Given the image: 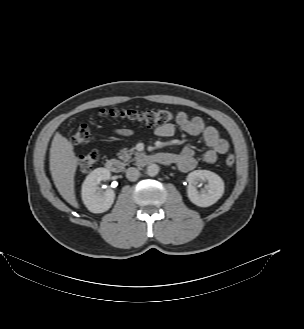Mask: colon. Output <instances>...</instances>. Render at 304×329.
Listing matches in <instances>:
<instances>
[{
  "instance_id": "1",
  "label": "colon",
  "mask_w": 304,
  "mask_h": 329,
  "mask_svg": "<svg viewBox=\"0 0 304 329\" xmlns=\"http://www.w3.org/2000/svg\"><path fill=\"white\" fill-rule=\"evenodd\" d=\"M99 115L103 118H112L116 120H124L135 124H141L146 127H159L165 125L175 119V113L168 110H146L138 111L132 109H110L101 110ZM72 140L77 145L87 144L94 141V136L90 128L82 124L73 134ZM99 150L95 149L84 154L78 161V171L88 173L92 171L98 161ZM225 164L232 166L235 157L232 153H227L224 157Z\"/></svg>"
}]
</instances>
